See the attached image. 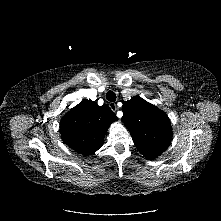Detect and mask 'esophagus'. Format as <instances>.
Instances as JSON below:
<instances>
[{
    "mask_svg": "<svg viewBox=\"0 0 221 221\" xmlns=\"http://www.w3.org/2000/svg\"><path fill=\"white\" fill-rule=\"evenodd\" d=\"M109 107L111 108L112 111H116L118 109L116 103L114 102H110Z\"/></svg>",
    "mask_w": 221,
    "mask_h": 221,
    "instance_id": "1",
    "label": "esophagus"
}]
</instances>
